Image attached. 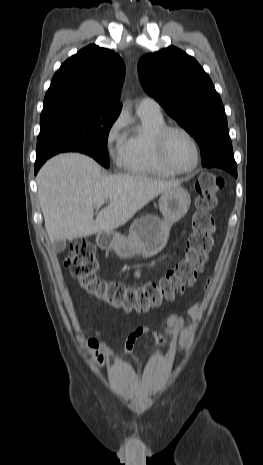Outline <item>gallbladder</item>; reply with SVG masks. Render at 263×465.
Wrapping results in <instances>:
<instances>
[{
	"instance_id": "bac80fb5",
	"label": "gallbladder",
	"mask_w": 263,
	"mask_h": 465,
	"mask_svg": "<svg viewBox=\"0 0 263 465\" xmlns=\"http://www.w3.org/2000/svg\"><path fill=\"white\" fill-rule=\"evenodd\" d=\"M66 247V241L65 240H56L52 244V248L55 252L59 253L62 252Z\"/></svg>"
}]
</instances>
